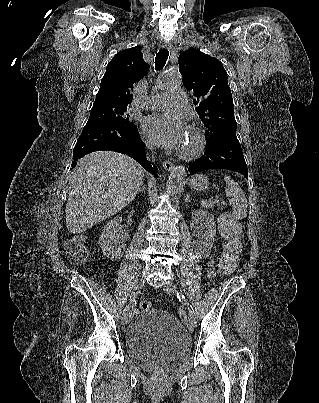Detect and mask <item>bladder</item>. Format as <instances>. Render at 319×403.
<instances>
[{"mask_svg": "<svg viewBox=\"0 0 319 403\" xmlns=\"http://www.w3.org/2000/svg\"><path fill=\"white\" fill-rule=\"evenodd\" d=\"M128 357L140 367L167 371L186 360L191 338L181 323L161 310H143L131 321L125 333Z\"/></svg>", "mask_w": 319, "mask_h": 403, "instance_id": "bladder-1", "label": "bladder"}]
</instances>
